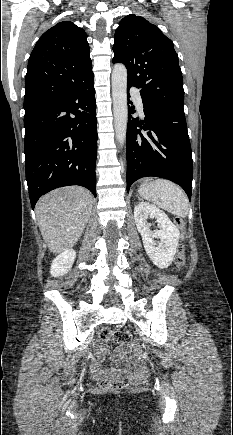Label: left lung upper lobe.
Wrapping results in <instances>:
<instances>
[{
  "mask_svg": "<svg viewBox=\"0 0 233 435\" xmlns=\"http://www.w3.org/2000/svg\"><path fill=\"white\" fill-rule=\"evenodd\" d=\"M113 63L128 70L127 85L140 89L143 100L183 109L182 72L173 42L146 19L124 17L115 31Z\"/></svg>",
  "mask_w": 233,
  "mask_h": 435,
  "instance_id": "5c2ea615",
  "label": "left lung upper lobe"
}]
</instances>
